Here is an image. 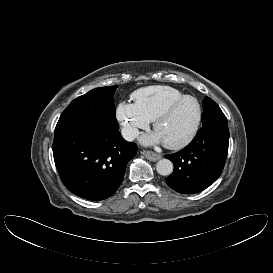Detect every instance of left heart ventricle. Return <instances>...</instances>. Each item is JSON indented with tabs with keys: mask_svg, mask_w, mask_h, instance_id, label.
Here are the masks:
<instances>
[{
	"mask_svg": "<svg viewBox=\"0 0 273 273\" xmlns=\"http://www.w3.org/2000/svg\"><path fill=\"white\" fill-rule=\"evenodd\" d=\"M197 118V106L192 100L178 104L171 114L156 128L157 134L165 143H177L192 131Z\"/></svg>",
	"mask_w": 273,
	"mask_h": 273,
	"instance_id": "left-heart-ventricle-1",
	"label": "left heart ventricle"
}]
</instances>
